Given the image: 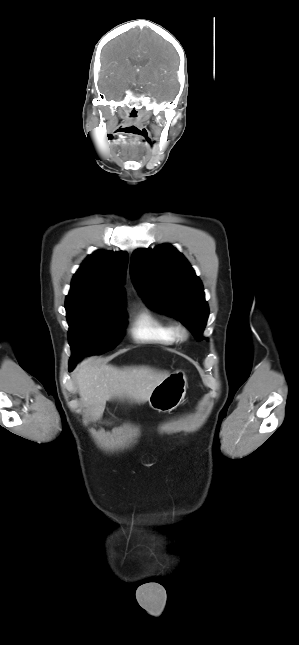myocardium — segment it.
I'll return each instance as SVG.
<instances>
[{
	"label": "myocardium",
	"mask_w": 299,
	"mask_h": 645,
	"mask_svg": "<svg viewBox=\"0 0 299 645\" xmlns=\"http://www.w3.org/2000/svg\"><path fill=\"white\" fill-rule=\"evenodd\" d=\"M173 331H174L175 337L178 339H185L188 336L187 328L181 323L175 324L173 326Z\"/></svg>",
	"instance_id": "obj_1"
}]
</instances>
